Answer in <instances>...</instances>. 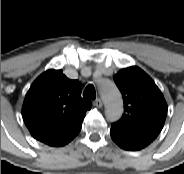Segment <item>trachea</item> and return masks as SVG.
<instances>
[{"label": "trachea", "instance_id": "3493384b", "mask_svg": "<svg viewBox=\"0 0 184 174\" xmlns=\"http://www.w3.org/2000/svg\"><path fill=\"white\" fill-rule=\"evenodd\" d=\"M83 96L85 98H88V99H95L96 98V91H95V88L92 84H89L84 92H83Z\"/></svg>", "mask_w": 184, "mask_h": 174}]
</instances>
